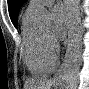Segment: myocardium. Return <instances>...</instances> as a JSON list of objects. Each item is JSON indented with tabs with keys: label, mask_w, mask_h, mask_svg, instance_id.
Instances as JSON below:
<instances>
[{
	"label": "myocardium",
	"mask_w": 89,
	"mask_h": 89,
	"mask_svg": "<svg viewBox=\"0 0 89 89\" xmlns=\"http://www.w3.org/2000/svg\"><path fill=\"white\" fill-rule=\"evenodd\" d=\"M42 37L45 41L47 49L55 56L57 50L56 45L51 41L50 36L42 32Z\"/></svg>",
	"instance_id": "1"
}]
</instances>
